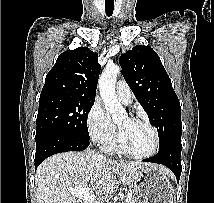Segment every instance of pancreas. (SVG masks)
<instances>
[{
    "mask_svg": "<svg viewBox=\"0 0 214 203\" xmlns=\"http://www.w3.org/2000/svg\"><path fill=\"white\" fill-rule=\"evenodd\" d=\"M127 203H137V200L135 198H131L127 201Z\"/></svg>",
    "mask_w": 214,
    "mask_h": 203,
    "instance_id": "cf45deb5",
    "label": "pancreas"
}]
</instances>
